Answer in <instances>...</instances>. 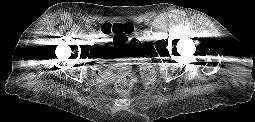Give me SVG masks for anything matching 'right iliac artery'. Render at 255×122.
Returning <instances> with one entry per match:
<instances>
[{
	"mask_svg": "<svg viewBox=\"0 0 255 122\" xmlns=\"http://www.w3.org/2000/svg\"><path fill=\"white\" fill-rule=\"evenodd\" d=\"M89 34L93 35L94 34V30L92 28H88Z\"/></svg>",
	"mask_w": 255,
	"mask_h": 122,
	"instance_id": "1",
	"label": "right iliac artery"
}]
</instances>
